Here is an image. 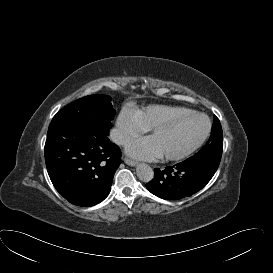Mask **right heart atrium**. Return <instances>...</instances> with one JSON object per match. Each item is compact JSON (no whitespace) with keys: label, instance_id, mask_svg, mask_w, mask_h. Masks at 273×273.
<instances>
[{"label":"right heart atrium","instance_id":"1","mask_svg":"<svg viewBox=\"0 0 273 273\" xmlns=\"http://www.w3.org/2000/svg\"><path fill=\"white\" fill-rule=\"evenodd\" d=\"M119 129L126 136H132L136 134L137 128L133 120L130 119L128 114H124L119 119Z\"/></svg>","mask_w":273,"mask_h":273}]
</instances>
